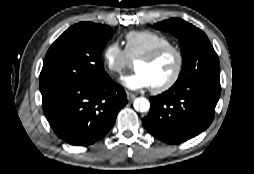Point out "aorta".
Masks as SVG:
<instances>
[{
  "label": "aorta",
  "mask_w": 254,
  "mask_h": 174,
  "mask_svg": "<svg viewBox=\"0 0 254 174\" xmlns=\"http://www.w3.org/2000/svg\"><path fill=\"white\" fill-rule=\"evenodd\" d=\"M134 107L140 112H147L150 109V102L146 98L136 99Z\"/></svg>",
  "instance_id": "1"
}]
</instances>
